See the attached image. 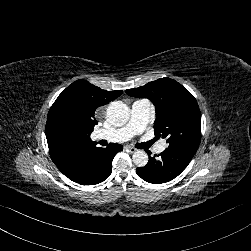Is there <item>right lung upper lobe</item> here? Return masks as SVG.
Masks as SVG:
<instances>
[{"instance_id":"right-lung-upper-lobe-1","label":"right lung upper lobe","mask_w":251,"mask_h":251,"mask_svg":"<svg viewBox=\"0 0 251 251\" xmlns=\"http://www.w3.org/2000/svg\"><path fill=\"white\" fill-rule=\"evenodd\" d=\"M121 93L122 90H102L81 79L58 96L48 112L45 127L49 153L58 168L96 147L90 138L98 123L94 118L95 110Z\"/></svg>"}]
</instances>
